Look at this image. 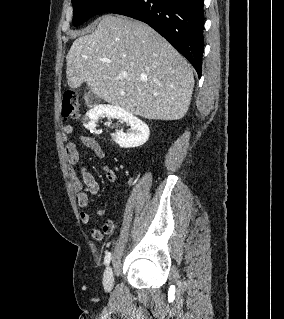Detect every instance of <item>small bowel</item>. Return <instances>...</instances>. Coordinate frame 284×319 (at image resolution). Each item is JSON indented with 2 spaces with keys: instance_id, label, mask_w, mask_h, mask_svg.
Segmentation results:
<instances>
[{
  "instance_id": "c3829d8e",
  "label": "small bowel",
  "mask_w": 284,
  "mask_h": 319,
  "mask_svg": "<svg viewBox=\"0 0 284 319\" xmlns=\"http://www.w3.org/2000/svg\"><path fill=\"white\" fill-rule=\"evenodd\" d=\"M73 132L71 125H65L62 129L63 140L65 141V155L68 162V172L71 179L73 190L76 193L77 203L79 207L85 209L90 202V195H96L100 190V184L97 179L87 170V167L80 158L77 146L75 143L68 141V136ZM83 145L90 149L93 154L101 161L102 170L105 178L109 182H115L117 179L116 173L109 166L104 164L102 160L105 158V152L101 144L91 136L82 137ZM99 215H103L104 211L98 210ZM82 224L89 225L91 223V215L87 211L80 213ZM115 230V224L112 220H106L102 226L93 227L91 236L95 240H102L105 235H111Z\"/></svg>"
}]
</instances>
